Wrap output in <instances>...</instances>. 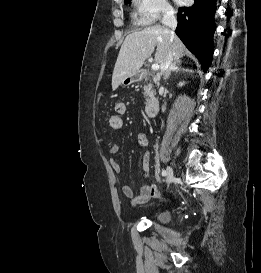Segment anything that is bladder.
Segmentation results:
<instances>
[{
    "instance_id": "bladder-1",
    "label": "bladder",
    "mask_w": 261,
    "mask_h": 273,
    "mask_svg": "<svg viewBox=\"0 0 261 273\" xmlns=\"http://www.w3.org/2000/svg\"><path fill=\"white\" fill-rule=\"evenodd\" d=\"M168 218H169V214L165 210H161L157 212L155 215V220L160 223L166 222Z\"/></svg>"
}]
</instances>
